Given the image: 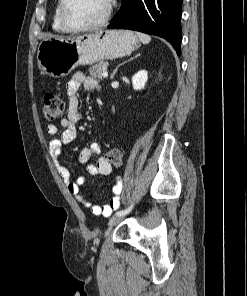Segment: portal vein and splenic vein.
<instances>
[{
  "label": "portal vein and splenic vein",
  "instance_id": "1",
  "mask_svg": "<svg viewBox=\"0 0 247 296\" xmlns=\"http://www.w3.org/2000/svg\"><path fill=\"white\" fill-rule=\"evenodd\" d=\"M102 76H103L104 78H107V77H108V72H107L106 70L103 71Z\"/></svg>",
  "mask_w": 247,
  "mask_h": 296
}]
</instances>
